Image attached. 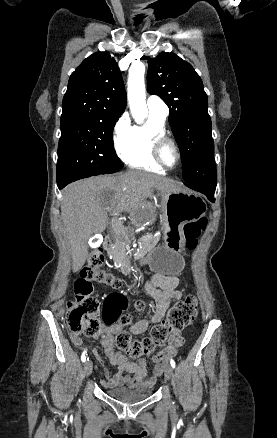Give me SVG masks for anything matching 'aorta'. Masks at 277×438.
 I'll return each mask as SVG.
<instances>
[{"mask_svg": "<svg viewBox=\"0 0 277 438\" xmlns=\"http://www.w3.org/2000/svg\"><path fill=\"white\" fill-rule=\"evenodd\" d=\"M145 66L140 61H135L129 69L128 101L133 118L138 124L143 123L148 115L145 94ZM148 209H141L136 215L139 227H143L150 220Z\"/></svg>", "mask_w": 277, "mask_h": 438, "instance_id": "762f6f07", "label": "aorta"}]
</instances>
